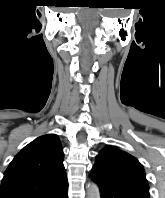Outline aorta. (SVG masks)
I'll list each match as a JSON object with an SVG mask.
<instances>
[{"mask_svg": "<svg viewBox=\"0 0 165 198\" xmlns=\"http://www.w3.org/2000/svg\"><path fill=\"white\" fill-rule=\"evenodd\" d=\"M87 198H100V190H99V187L95 183L88 184Z\"/></svg>", "mask_w": 165, "mask_h": 198, "instance_id": "obj_1", "label": "aorta"}]
</instances>
